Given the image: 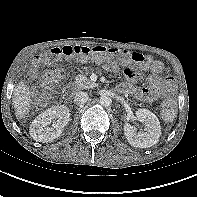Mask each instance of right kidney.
Instances as JSON below:
<instances>
[{
	"label": "right kidney",
	"instance_id": "obj_1",
	"mask_svg": "<svg viewBox=\"0 0 197 197\" xmlns=\"http://www.w3.org/2000/svg\"><path fill=\"white\" fill-rule=\"evenodd\" d=\"M70 120L69 108L52 106L39 114L30 125V135L38 142L48 143L58 138ZM52 125L50 126V124Z\"/></svg>",
	"mask_w": 197,
	"mask_h": 197
}]
</instances>
